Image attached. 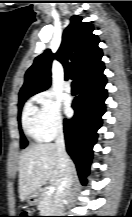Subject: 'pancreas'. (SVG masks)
<instances>
[{"mask_svg":"<svg viewBox=\"0 0 132 217\" xmlns=\"http://www.w3.org/2000/svg\"><path fill=\"white\" fill-rule=\"evenodd\" d=\"M39 207L43 216L51 215L55 208V196L49 192H44Z\"/></svg>","mask_w":132,"mask_h":217,"instance_id":"cf45deb5","label":"pancreas"}]
</instances>
